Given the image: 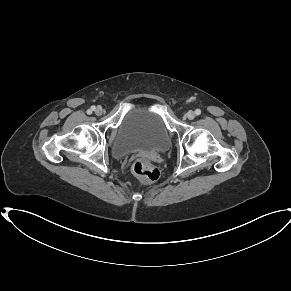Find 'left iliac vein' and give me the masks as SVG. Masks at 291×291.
Masks as SVG:
<instances>
[{
	"instance_id": "1",
	"label": "left iliac vein",
	"mask_w": 291,
	"mask_h": 291,
	"mask_svg": "<svg viewBox=\"0 0 291 291\" xmlns=\"http://www.w3.org/2000/svg\"><path fill=\"white\" fill-rule=\"evenodd\" d=\"M186 116L189 120H193L195 118V113L193 111H189Z\"/></svg>"
}]
</instances>
